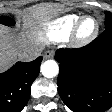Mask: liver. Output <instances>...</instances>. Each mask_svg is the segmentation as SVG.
Segmentation results:
<instances>
[{
    "mask_svg": "<svg viewBox=\"0 0 112 112\" xmlns=\"http://www.w3.org/2000/svg\"><path fill=\"white\" fill-rule=\"evenodd\" d=\"M57 11L58 9L52 4H40L29 8L24 19L27 31L20 39H17L8 27L0 24V72L15 62L23 50L37 48L32 39L33 30Z\"/></svg>",
    "mask_w": 112,
    "mask_h": 112,
    "instance_id": "liver-1",
    "label": "liver"
}]
</instances>
